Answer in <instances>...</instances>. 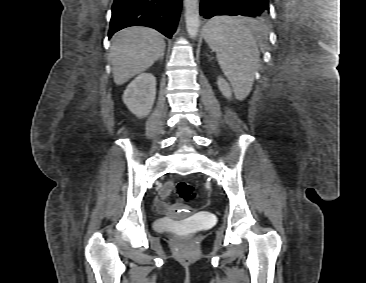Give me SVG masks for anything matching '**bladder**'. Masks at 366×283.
I'll return each instance as SVG.
<instances>
[{
  "label": "bladder",
  "mask_w": 366,
  "mask_h": 283,
  "mask_svg": "<svg viewBox=\"0 0 366 283\" xmlns=\"http://www.w3.org/2000/svg\"><path fill=\"white\" fill-rule=\"evenodd\" d=\"M201 223H198L195 228H200ZM155 228L159 232H170L175 229L173 223L167 219H158L155 222Z\"/></svg>",
  "instance_id": "obj_1"
}]
</instances>
